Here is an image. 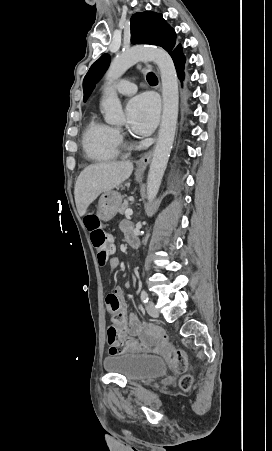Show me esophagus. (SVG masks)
Masks as SVG:
<instances>
[{"label":"esophagus","instance_id":"esophagus-1","mask_svg":"<svg viewBox=\"0 0 272 451\" xmlns=\"http://www.w3.org/2000/svg\"><path fill=\"white\" fill-rule=\"evenodd\" d=\"M151 158H152V152L149 151L148 153H145L140 160L138 161V170L139 171H144L145 168L149 165V163L151 162Z\"/></svg>","mask_w":272,"mask_h":451}]
</instances>
